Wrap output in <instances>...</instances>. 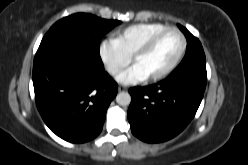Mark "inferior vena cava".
I'll list each match as a JSON object with an SVG mask.
<instances>
[{
    "label": "inferior vena cava",
    "instance_id": "602c4592",
    "mask_svg": "<svg viewBox=\"0 0 248 165\" xmlns=\"http://www.w3.org/2000/svg\"><path fill=\"white\" fill-rule=\"evenodd\" d=\"M111 72H112L113 74H115V73L118 72V69H112Z\"/></svg>",
    "mask_w": 248,
    "mask_h": 165
}]
</instances>
